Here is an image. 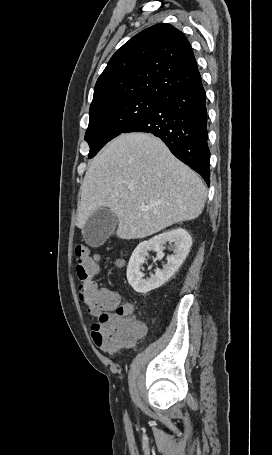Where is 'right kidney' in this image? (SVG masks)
<instances>
[{"mask_svg":"<svg viewBox=\"0 0 272 455\" xmlns=\"http://www.w3.org/2000/svg\"><path fill=\"white\" fill-rule=\"evenodd\" d=\"M167 242L174 244V254L167 256V264L163 269H157L151 278L143 279L145 275L141 269L146 261L148 251H156L157 259H162L164 257V245ZM191 245L192 238L183 228H176L154 236L148 241L141 242L133 251L127 266L128 283L136 292L142 294L159 288L171 278L184 262L189 254Z\"/></svg>","mask_w":272,"mask_h":455,"instance_id":"right-kidney-1","label":"right kidney"}]
</instances>
